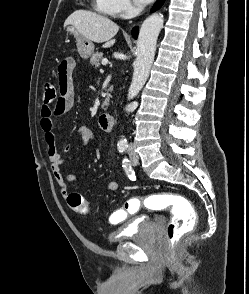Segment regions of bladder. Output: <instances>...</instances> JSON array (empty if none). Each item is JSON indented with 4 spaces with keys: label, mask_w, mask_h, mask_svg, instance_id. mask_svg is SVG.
<instances>
[{
    "label": "bladder",
    "mask_w": 249,
    "mask_h": 294,
    "mask_svg": "<svg viewBox=\"0 0 249 294\" xmlns=\"http://www.w3.org/2000/svg\"><path fill=\"white\" fill-rule=\"evenodd\" d=\"M158 220V217L150 215H143L128 220L125 227L109 236V243L115 244L129 238L144 237Z\"/></svg>",
    "instance_id": "obj_1"
}]
</instances>
